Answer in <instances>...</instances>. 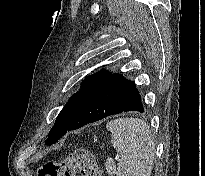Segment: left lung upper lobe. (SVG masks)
<instances>
[{"mask_svg":"<svg viewBox=\"0 0 205 176\" xmlns=\"http://www.w3.org/2000/svg\"><path fill=\"white\" fill-rule=\"evenodd\" d=\"M111 75H113L111 72L101 69L99 72L88 76L85 82H82L81 89L70 97L68 103L59 113L45 141L47 145L56 143L66 133L76 115L80 103L88 95L96 92Z\"/></svg>","mask_w":205,"mask_h":176,"instance_id":"1","label":"left lung upper lobe"}]
</instances>
